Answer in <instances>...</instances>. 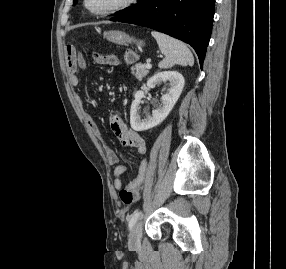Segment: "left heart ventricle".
Returning a JSON list of instances; mask_svg holds the SVG:
<instances>
[{"label": "left heart ventricle", "mask_w": 286, "mask_h": 269, "mask_svg": "<svg viewBox=\"0 0 286 269\" xmlns=\"http://www.w3.org/2000/svg\"><path fill=\"white\" fill-rule=\"evenodd\" d=\"M122 0H89V6L92 10H102L110 8Z\"/></svg>", "instance_id": "left-heart-ventricle-1"}]
</instances>
